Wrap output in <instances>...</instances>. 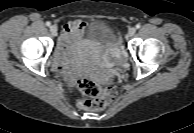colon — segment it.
<instances>
[{
	"label": "colon",
	"mask_w": 194,
	"mask_h": 133,
	"mask_svg": "<svg viewBox=\"0 0 194 133\" xmlns=\"http://www.w3.org/2000/svg\"><path fill=\"white\" fill-rule=\"evenodd\" d=\"M78 91L86 96V99L78 101L80 108L89 111H99L111 103L116 96V89L112 86L100 87L92 80L81 78L77 81Z\"/></svg>",
	"instance_id": "5ec220e1"
}]
</instances>
